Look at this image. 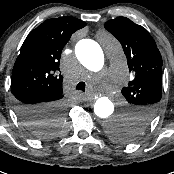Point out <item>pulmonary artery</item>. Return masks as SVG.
<instances>
[{
    "mask_svg": "<svg viewBox=\"0 0 174 174\" xmlns=\"http://www.w3.org/2000/svg\"><path fill=\"white\" fill-rule=\"evenodd\" d=\"M105 73V70L102 72V74H104Z\"/></svg>",
    "mask_w": 174,
    "mask_h": 174,
    "instance_id": "obj_1",
    "label": "pulmonary artery"
}]
</instances>
